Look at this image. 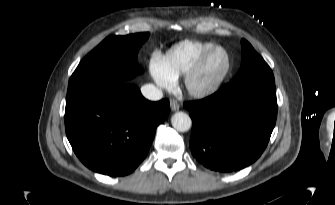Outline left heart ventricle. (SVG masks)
Returning a JSON list of instances; mask_svg holds the SVG:
<instances>
[{
    "mask_svg": "<svg viewBox=\"0 0 335 205\" xmlns=\"http://www.w3.org/2000/svg\"><path fill=\"white\" fill-rule=\"evenodd\" d=\"M226 58L223 52H215L207 61L199 79V85H207L213 82L223 71Z\"/></svg>",
    "mask_w": 335,
    "mask_h": 205,
    "instance_id": "obj_1",
    "label": "left heart ventricle"
}]
</instances>
